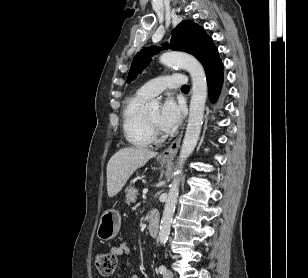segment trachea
<instances>
[{
	"label": "trachea",
	"instance_id": "1",
	"mask_svg": "<svg viewBox=\"0 0 308 278\" xmlns=\"http://www.w3.org/2000/svg\"><path fill=\"white\" fill-rule=\"evenodd\" d=\"M181 89L182 90H189V86L188 85H184Z\"/></svg>",
	"mask_w": 308,
	"mask_h": 278
}]
</instances>
